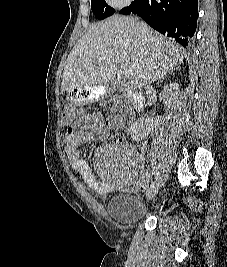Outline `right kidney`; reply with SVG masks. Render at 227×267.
I'll use <instances>...</instances> for the list:
<instances>
[{
  "label": "right kidney",
  "mask_w": 227,
  "mask_h": 267,
  "mask_svg": "<svg viewBox=\"0 0 227 267\" xmlns=\"http://www.w3.org/2000/svg\"><path fill=\"white\" fill-rule=\"evenodd\" d=\"M180 93L179 85L177 83H168L163 87V94L166 97L164 103L168 106L172 102L177 101L178 95ZM160 117L152 119H139L133 126L130 128V136L135 141H140L145 139L148 135L151 134L154 127L158 124Z\"/></svg>",
  "instance_id": "right-kidney-1"
}]
</instances>
